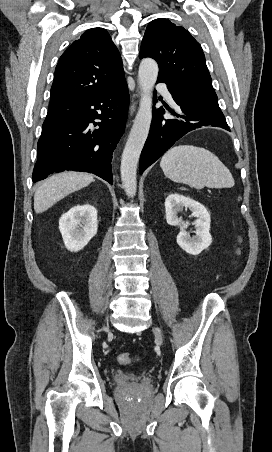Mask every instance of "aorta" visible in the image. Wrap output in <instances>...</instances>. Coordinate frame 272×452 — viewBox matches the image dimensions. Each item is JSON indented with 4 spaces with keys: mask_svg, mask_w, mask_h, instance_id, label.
<instances>
[{
    "mask_svg": "<svg viewBox=\"0 0 272 452\" xmlns=\"http://www.w3.org/2000/svg\"><path fill=\"white\" fill-rule=\"evenodd\" d=\"M158 64L151 58L141 61L138 71L142 94L139 109L121 159V181L124 191L134 197L137 189V165L152 120V91L158 77Z\"/></svg>",
    "mask_w": 272,
    "mask_h": 452,
    "instance_id": "762f6f07",
    "label": "aorta"
}]
</instances>
